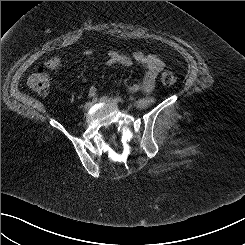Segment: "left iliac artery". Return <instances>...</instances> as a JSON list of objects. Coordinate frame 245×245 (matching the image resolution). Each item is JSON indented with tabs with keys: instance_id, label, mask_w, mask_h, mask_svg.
Returning <instances> with one entry per match:
<instances>
[{
	"instance_id": "1",
	"label": "left iliac artery",
	"mask_w": 245,
	"mask_h": 245,
	"mask_svg": "<svg viewBox=\"0 0 245 245\" xmlns=\"http://www.w3.org/2000/svg\"><path fill=\"white\" fill-rule=\"evenodd\" d=\"M114 100L116 102H119V103H123L124 102V100L121 97H119V96L114 97Z\"/></svg>"
}]
</instances>
